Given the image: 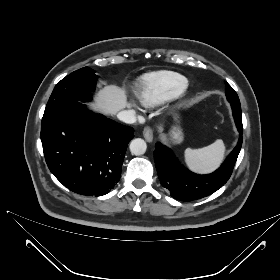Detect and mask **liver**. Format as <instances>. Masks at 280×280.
Returning <instances> with one entry per match:
<instances>
[{
    "mask_svg": "<svg viewBox=\"0 0 280 280\" xmlns=\"http://www.w3.org/2000/svg\"><path fill=\"white\" fill-rule=\"evenodd\" d=\"M93 109L106 115H115L125 107L130 106L127 102L126 91L115 85L103 87L96 95L95 102L90 103Z\"/></svg>",
    "mask_w": 280,
    "mask_h": 280,
    "instance_id": "1",
    "label": "liver"
}]
</instances>
